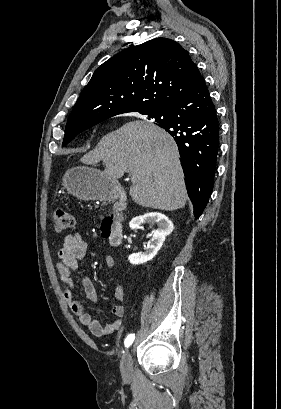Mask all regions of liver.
<instances>
[{
    "instance_id": "6515ba94",
    "label": "liver",
    "mask_w": 281,
    "mask_h": 409,
    "mask_svg": "<svg viewBox=\"0 0 281 409\" xmlns=\"http://www.w3.org/2000/svg\"><path fill=\"white\" fill-rule=\"evenodd\" d=\"M84 164L102 160L109 178L130 172L129 194L141 207L176 211L186 205L184 172L173 136L149 120H132L108 132L94 150L80 158Z\"/></svg>"
}]
</instances>
